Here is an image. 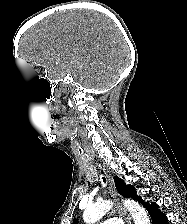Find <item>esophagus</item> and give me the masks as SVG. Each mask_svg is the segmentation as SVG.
Wrapping results in <instances>:
<instances>
[{
	"label": "esophagus",
	"mask_w": 187,
	"mask_h": 224,
	"mask_svg": "<svg viewBox=\"0 0 187 224\" xmlns=\"http://www.w3.org/2000/svg\"><path fill=\"white\" fill-rule=\"evenodd\" d=\"M104 172L109 180V191H110L111 197L114 199L115 208L117 209L120 216L125 220L126 224H132L130 215L127 213L126 209L124 207H122V205L119 202V195L115 188L113 178H112L110 172L107 169H104Z\"/></svg>",
	"instance_id": "esophagus-1"
}]
</instances>
